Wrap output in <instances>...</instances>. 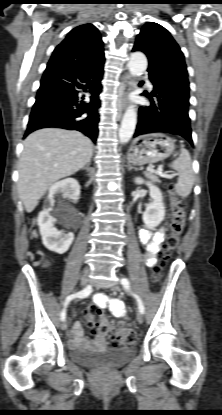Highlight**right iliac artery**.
<instances>
[{"instance_id": "obj_1", "label": "right iliac artery", "mask_w": 222, "mask_h": 415, "mask_svg": "<svg viewBox=\"0 0 222 415\" xmlns=\"http://www.w3.org/2000/svg\"><path fill=\"white\" fill-rule=\"evenodd\" d=\"M91 292H92V287H91V285H88L85 289H83V290H81L77 293L69 295L66 298L65 302H64V308L62 309L61 314H60L61 320L62 321L65 320V318H66V307L68 306V304L70 303L71 300H73L74 298H86L90 295Z\"/></svg>"}]
</instances>
